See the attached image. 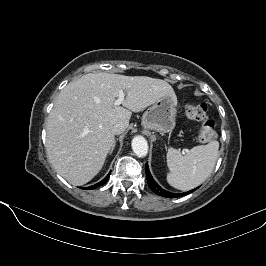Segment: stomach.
<instances>
[{"label": "stomach", "mask_w": 266, "mask_h": 266, "mask_svg": "<svg viewBox=\"0 0 266 266\" xmlns=\"http://www.w3.org/2000/svg\"><path fill=\"white\" fill-rule=\"evenodd\" d=\"M177 102L171 97H163L157 100L143 114V126L154 131L168 133L175 127Z\"/></svg>", "instance_id": "0dacf381"}]
</instances>
